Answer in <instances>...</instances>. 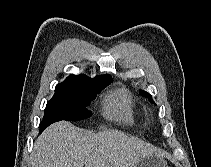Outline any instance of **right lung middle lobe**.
I'll list each match as a JSON object with an SVG mask.
<instances>
[{
	"instance_id": "obj_1",
	"label": "right lung middle lobe",
	"mask_w": 211,
	"mask_h": 167,
	"mask_svg": "<svg viewBox=\"0 0 211 167\" xmlns=\"http://www.w3.org/2000/svg\"><path fill=\"white\" fill-rule=\"evenodd\" d=\"M110 82H87L67 88L55 89L54 96L46 105L45 114L40 123V132L57 121H78L90 117L91 113L86 106Z\"/></svg>"
}]
</instances>
